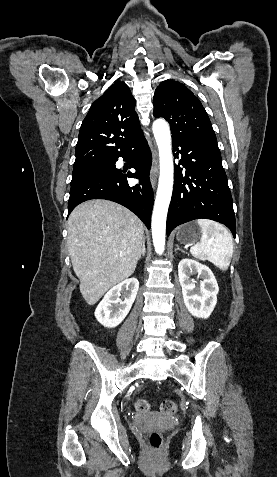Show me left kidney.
I'll return each instance as SVG.
<instances>
[{"label": "left kidney", "mask_w": 277, "mask_h": 477, "mask_svg": "<svg viewBox=\"0 0 277 477\" xmlns=\"http://www.w3.org/2000/svg\"><path fill=\"white\" fill-rule=\"evenodd\" d=\"M198 274L202 279L200 288L195 289L191 275ZM179 282L185 306L197 318L207 319L217 303L219 287L209 267L192 259H183L178 265Z\"/></svg>", "instance_id": "obj_1"}]
</instances>
